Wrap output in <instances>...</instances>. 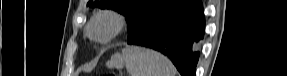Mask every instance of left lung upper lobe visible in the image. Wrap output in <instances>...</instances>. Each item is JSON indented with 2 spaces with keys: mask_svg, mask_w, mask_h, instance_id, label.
<instances>
[{
  "mask_svg": "<svg viewBox=\"0 0 287 76\" xmlns=\"http://www.w3.org/2000/svg\"><path fill=\"white\" fill-rule=\"evenodd\" d=\"M185 0H89L87 6L111 8L126 16L128 40L141 35L158 17Z\"/></svg>",
  "mask_w": 287,
  "mask_h": 76,
  "instance_id": "obj_1",
  "label": "left lung upper lobe"
}]
</instances>
